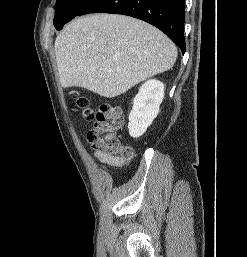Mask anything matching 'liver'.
I'll return each instance as SVG.
<instances>
[{
    "instance_id": "obj_1",
    "label": "liver",
    "mask_w": 247,
    "mask_h": 257,
    "mask_svg": "<svg viewBox=\"0 0 247 257\" xmlns=\"http://www.w3.org/2000/svg\"><path fill=\"white\" fill-rule=\"evenodd\" d=\"M54 47L63 88L82 87L107 98L171 69L177 59L176 46L159 29L117 14L73 20Z\"/></svg>"
}]
</instances>
